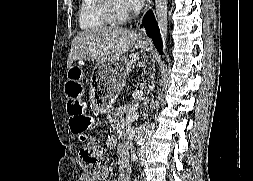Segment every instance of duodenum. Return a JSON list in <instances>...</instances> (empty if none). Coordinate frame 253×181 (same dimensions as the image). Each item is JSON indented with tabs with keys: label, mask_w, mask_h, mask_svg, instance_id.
<instances>
[{
	"label": "duodenum",
	"mask_w": 253,
	"mask_h": 181,
	"mask_svg": "<svg viewBox=\"0 0 253 181\" xmlns=\"http://www.w3.org/2000/svg\"><path fill=\"white\" fill-rule=\"evenodd\" d=\"M146 130L145 129H141L140 131H138L136 133V137H139L142 133H144Z\"/></svg>",
	"instance_id": "duodenum-1"
}]
</instances>
